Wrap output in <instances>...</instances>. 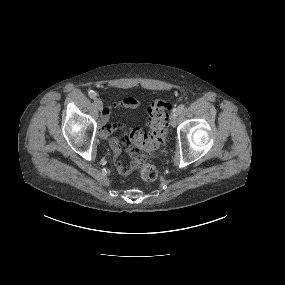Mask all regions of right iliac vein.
Masks as SVG:
<instances>
[{
	"mask_svg": "<svg viewBox=\"0 0 285 285\" xmlns=\"http://www.w3.org/2000/svg\"><path fill=\"white\" fill-rule=\"evenodd\" d=\"M94 104H95V106L97 107L98 110L101 111L103 109V103H102L101 99L96 98L94 100Z\"/></svg>",
	"mask_w": 285,
	"mask_h": 285,
	"instance_id": "63e3f726",
	"label": "right iliac vein"
}]
</instances>
